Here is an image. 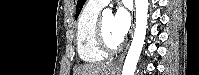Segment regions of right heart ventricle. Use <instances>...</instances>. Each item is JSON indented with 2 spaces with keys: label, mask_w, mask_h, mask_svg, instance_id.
I'll return each instance as SVG.
<instances>
[{
  "label": "right heart ventricle",
  "mask_w": 199,
  "mask_h": 75,
  "mask_svg": "<svg viewBox=\"0 0 199 75\" xmlns=\"http://www.w3.org/2000/svg\"><path fill=\"white\" fill-rule=\"evenodd\" d=\"M100 10L101 8L89 3L78 19L76 28L77 49L80 59L86 63H97L106 57V53L98 47L95 38V26Z\"/></svg>",
  "instance_id": "right-heart-ventricle-1"
}]
</instances>
